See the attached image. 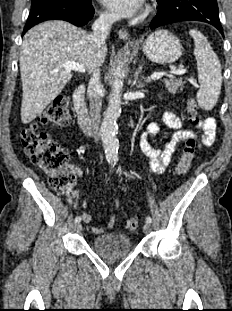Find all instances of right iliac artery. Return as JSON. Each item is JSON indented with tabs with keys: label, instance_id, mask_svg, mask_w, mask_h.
Returning <instances> with one entry per match:
<instances>
[{
	"label": "right iliac artery",
	"instance_id": "1",
	"mask_svg": "<svg viewBox=\"0 0 232 311\" xmlns=\"http://www.w3.org/2000/svg\"><path fill=\"white\" fill-rule=\"evenodd\" d=\"M109 163H110L111 167H114L115 161L109 160ZM80 221H81V216H77V217L75 218V223H80Z\"/></svg>",
	"mask_w": 232,
	"mask_h": 311
}]
</instances>
